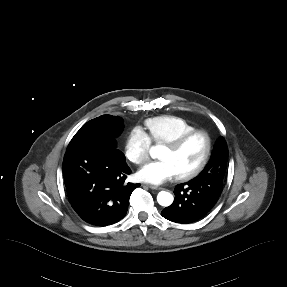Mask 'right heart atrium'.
<instances>
[{"mask_svg": "<svg viewBox=\"0 0 287 287\" xmlns=\"http://www.w3.org/2000/svg\"><path fill=\"white\" fill-rule=\"evenodd\" d=\"M151 141L140 128H133L128 133L125 144V157L136 165L145 163L149 158Z\"/></svg>", "mask_w": 287, "mask_h": 287, "instance_id": "right-heart-atrium-1", "label": "right heart atrium"}]
</instances>
